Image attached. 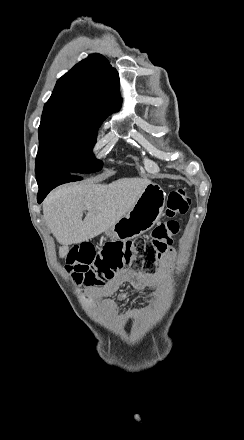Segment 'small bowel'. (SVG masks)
<instances>
[{
    "label": "small bowel",
    "mask_w": 244,
    "mask_h": 440,
    "mask_svg": "<svg viewBox=\"0 0 244 440\" xmlns=\"http://www.w3.org/2000/svg\"><path fill=\"white\" fill-rule=\"evenodd\" d=\"M174 262V252L169 250L163 256V263L165 265H171ZM160 276L150 273H144L134 269H124L115 273V275L108 280L100 288H92L87 291L88 295L100 300V306L102 310L112 319L124 320L130 318L132 314H127L124 317H119L116 314V310L113 303L107 299V296L115 292L120 286L126 283L133 285L135 289H144L158 283ZM128 296V292H121L118 294V300H123Z\"/></svg>",
    "instance_id": "1"
}]
</instances>
